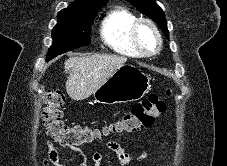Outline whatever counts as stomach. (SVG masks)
<instances>
[{
	"label": "stomach",
	"instance_id": "1",
	"mask_svg": "<svg viewBox=\"0 0 227 166\" xmlns=\"http://www.w3.org/2000/svg\"><path fill=\"white\" fill-rule=\"evenodd\" d=\"M150 87V77L138 67L127 64L117 69L93 96L102 104L127 103L140 100Z\"/></svg>",
	"mask_w": 227,
	"mask_h": 166
}]
</instances>
